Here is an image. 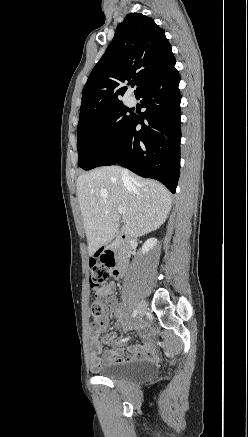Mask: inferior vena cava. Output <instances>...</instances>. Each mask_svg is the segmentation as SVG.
<instances>
[{
    "instance_id": "obj_1",
    "label": "inferior vena cava",
    "mask_w": 248,
    "mask_h": 437,
    "mask_svg": "<svg viewBox=\"0 0 248 437\" xmlns=\"http://www.w3.org/2000/svg\"><path fill=\"white\" fill-rule=\"evenodd\" d=\"M122 176L125 178L126 177V171L122 170Z\"/></svg>"
}]
</instances>
